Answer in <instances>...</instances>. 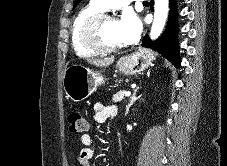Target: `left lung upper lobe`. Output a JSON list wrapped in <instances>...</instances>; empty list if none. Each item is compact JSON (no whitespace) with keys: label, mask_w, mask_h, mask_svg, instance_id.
<instances>
[{"label":"left lung upper lobe","mask_w":227,"mask_h":166,"mask_svg":"<svg viewBox=\"0 0 227 166\" xmlns=\"http://www.w3.org/2000/svg\"><path fill=\"white\" fill-rule=\"evenodd\" d=\"M81 0H75L74 7L80 2Z\"/></svg>","instance_id":"1"}]
</instances>
